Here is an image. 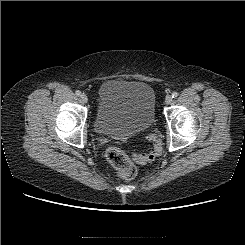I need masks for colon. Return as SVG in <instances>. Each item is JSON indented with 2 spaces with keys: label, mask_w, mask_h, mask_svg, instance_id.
<instances>
[{
  "label": "colon",
  "mask_w": 245,
  "mask_h": 245,
  "mask_svg": "<svg viewBox=\"0 0 245 245\" xmlns=\"http://www.w3.org/2000/svg\"><path fill=\"white\" fill-rule=\"evenodd\" d=\"M153 140V148L147 153H135L134 161L144 165L155 160L162 152V145L159 139L154 136L150 137ZM106 157L109 163L117 170L118 176L123 179H131L137 173V168L133 160L120 148L112 146L107 149Z\"/></svg>",
  "instance_id": "5ec220e1"
}]
</instances>
